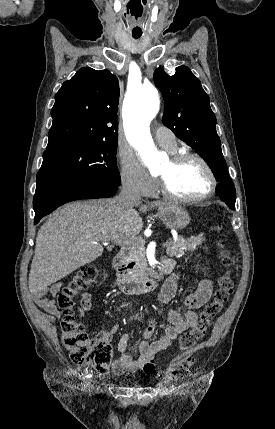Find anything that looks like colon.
Returning a JSON list of instances; mask_svg holds the SVG:
<instances>
[{
	"label": "colon",
	"instance_id": "5ec220e1",
	"mask_svg": "<svg viewBox=\"0 0 275 429\" xmlns=\"http://www.w3.org/2000/svg\"><path fill=\"white\" fill-rule=\"evenodd\" d=\"M217 248L223 274L218 280L213 299L203 307L196 324L180 337L179 353L165 370V376L169 379H180L188 373L194 363L192 349L206 336L212 321L222 311L233 292L232 257L223 240L217 241ZM98 274L99 269L95 265L81 268L63 287L58 304L63 311L61 339L71 360L76 364L90 365L96 371L104 373L110 369L113 358L109 339L103 336L90 339L84 326L74 316V298L81 291L95 286ZM152 369L153 364H149L146 372L149 373Z\"/></svg>",
	"mask_w": 275,
	"mask_h": 429
}]
</instances>
